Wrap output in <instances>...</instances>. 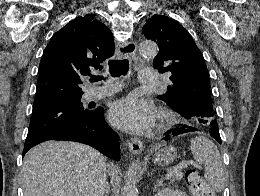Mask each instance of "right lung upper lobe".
I'll return each instance as SVG.
<instances>
[{
  "label": "right lung upper lobe",
  "instance_id": "1",
  "mask_svg": "<svg viewBox=\"0 0 260 196\" xmlns=\"http://www.w3.org/2000/svg\"><path fill=\"white\" fill-rule=\"evenodd\" d=\"M114 54L113 35L94 15L79 16L57 31L45 48L34 105L82 95L90 70Z\"/></svg>",
  "mask_w": 260,
  "mask_h": 196
}]
</instances>
